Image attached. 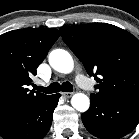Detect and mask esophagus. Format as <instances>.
<instances>
[{
  "mask_svg": "<svg viewBox=\"0 0 139 139\" xmlns=\"http://www.w3.org/2000/svg\"><path fill=\"white\" fill-rule=\"evenodd\" d=\"M62 95H63L65 98H70V97L73 95V93H71V92H63Z\"/></svg>",
  "mask_w": 139,
  "mask_h": 139,
  "instance_id": "esophagus-1",
  "label": "esophagus"
}]
</instances>
